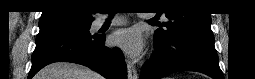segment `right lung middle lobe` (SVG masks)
I'll list each match as a JSON object with an SVG mask.
<instances>
[{
  "instance_id": "obj_1",
  "label": "right lung middle lobe",
  "mask_w": 255,
  "mask_h": 79,
  "mask_svg": "<svg viewBox=\"0 0 255 79\" xmlns=\"http://www.w3.org/2000/svg\"><path fill=\"white\" fill-rule=\"evenodd\" d=\"M92 21H84L73 15H59L39 20L38 36L49 33H69L90 35L89 29Z\"/></svg>"
}]
</instances>
